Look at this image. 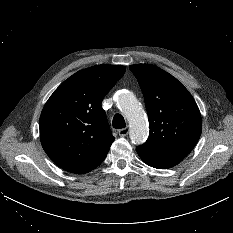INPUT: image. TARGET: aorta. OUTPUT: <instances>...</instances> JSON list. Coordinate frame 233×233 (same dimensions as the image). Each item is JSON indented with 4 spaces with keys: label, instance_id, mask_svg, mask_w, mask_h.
<instances>
[{
    "label": "aorta",
    "instance_id": "1",
    "mask_svg": "<svg viewBox=\"0 0 233 233\" xmlns=\"http://www.w3.org/2000/svg\"><path fill=\"white\" fill-rule=\"evenodd\" d=\"M117 105L130 124V139L135 144H142L149 134V126L136 97L129 91L117 95Z\"/></svg>",
    "mask_w": 233,
    "mask_h": 233
}]
</instances>
